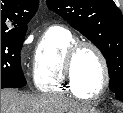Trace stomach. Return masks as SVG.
<instances>
[{
    "mask_svg": "<svg viewBox=\"0 0 123 113\" xmlns=\"http://www.w3.org/2000/svg\"><path fill=\"white\" fill-rule=\"evenodd\" d=\"M75 113H98L96 109H92V108H88V109H84V110H81V111H77Z\"/></svg>",
    "mask_w": 123,
    "mask_h": 113,
    "instance_id": "0dacf381",
    "label": "stomach"
}]
</instances>
